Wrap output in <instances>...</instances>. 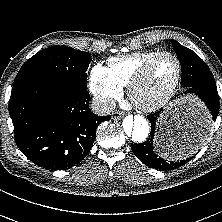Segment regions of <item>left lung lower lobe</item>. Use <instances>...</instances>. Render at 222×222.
Masks as SVG:
<instances>
[{"instance_id":"1","label":"left lung lower lobe","mask_w":222,"mask_h":222,"mask_svg":"<svg viewBox=\"0 0 222 222\" xmlns=\"http://www.w3.org/2000/svg\"><path fill=\"white\" fill-rule=\"evenodd\" d=\"M182 69H184L185 72L193 74L196 73L194 66L187 65L182 67ZM188 76L192 75L188 74ZM187 93H193L198 95L201 98V100L205 103V105L207 106V108L211 113V117L208 116L206 121L193 123L183 133H181V135L177 137L176 139L177 148L184 150L186 153H189L188 155H190L205 143L207 134L210 130L211 122L212 120L216 121L219 112V95L217 92V88L200 86V85H191L186 87V91L184 92V94ZM161 112L162 109L148 116V119L150 120L151 123L150 136L143 143L131 144V150L147 166L167 171V170L176 169L179 166L184 165L192 157L174 163L172 161L168 162L167 160L158 158L157 155L154 153L152 144L156 132V121L160 116ZM190 151L192 152L190 153ZM158 160L164 163L163 165L164 168H158V163H157Z\"/></svg>"}]
</instances>
